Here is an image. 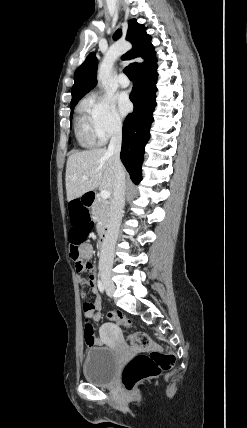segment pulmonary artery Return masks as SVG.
Masks as SVG:
<instances>
[{
	"instance_id": "pulmonary-artery-1",
	"label": "pulmonary artery",
	"mask_w": 247,
	"mask_h": 428,
	"mask_svg": "<svg viewBox=\"0 0 247 428\" xmlns=\"http://www.w3.org/2000/svg\"><path fill=\"white\" fill-rule=\"evenodd\" d=\"M118 83L121 87L126 88L129 86L130 82L125 74H120L118 77Z\"/></svg>"
}]
</instances>
